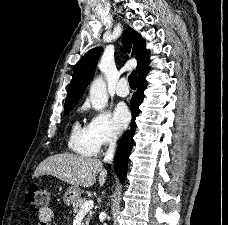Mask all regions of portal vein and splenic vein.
I'll return each instance as SVG.
<instances>
[{
    "instance_id": "18ae733b",
    "label": "portal vein and splenic vein",
    "mask_w": 228,
    "mask_h": 225,
    "mask_svg": "<svg viewBox=\"0 0 228 225\" xmlns=\"http://www.w3.org/2000/svg\"><path fill=\"white\" fill-rule=\"evenodd\" d=\"M94 207V201H85V203H83V207H81L78 215H84V213H88V211H90V209H93Z\"/></svg>"
}]
</instances>
